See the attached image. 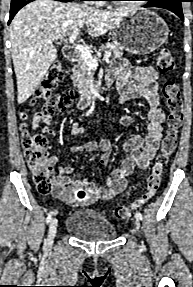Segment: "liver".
Masks as SVG:
<instances>
[{
  "label": "liver",
  "mask_w": 193,
  "mask_h": 287,
  "mask_svg": "<svg viewBox=\"0 0 193 287\" xmlns=\"http://www.w3.org/2000/svg\"><path fill=\"white\" fill-rule=\"evenodd\" d=\"M132 12L126 9L101 11L87 3L54 0H36L23 7L10 24L18 103L33 94L57 58L53 41L84 26L91 37H99Z\"/></svg>",
  "instance_id": "liver-1"
}]
</instances>
